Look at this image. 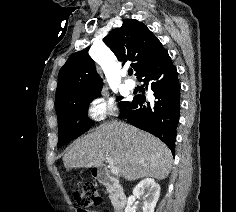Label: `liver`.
<instances>
[{"mask_svg": "<svg viewBox=\"0 0 236 212\" xmlns=\"http://www.w3.org/2000/svg\"><path fill=\"white\" fill-rule=\"evenodd\" d=\"M110 156L119 173L129 181L142 178L165 179L173 158L158 138L121 121L101 124L76 139L63 157L67 170L101 167Z\"/></svg>", "mask_w": 236, "mask_h": 212, "instance_id": "6515ba94", "label": "liver"}]
</instances>
